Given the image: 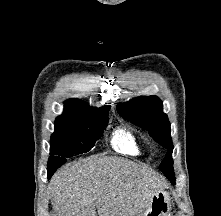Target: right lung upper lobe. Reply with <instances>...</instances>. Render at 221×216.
Returning a JSON list of instances; mask_svg holds the SVG:
<instances>
[{
	"label": "right lung upper lobe",
	"instance_id": "right-lung-upper-lobe-1",
	"mask_svg": "<svg viewBox=\"0 0 221 216\" xmlns=\"http://www.w3.org/2000/svg\"><path fill=\"white\" fill-rule=\"evenodd\" d=\"M64 113L56 118L55 126H61L82 117L99 116L108 113L109 105L100 108L90 107L85 102L69 99L65 102Z\"/></svg>",
	"mask_w": 221,
	"mask_h": 216
}]
</instances>
